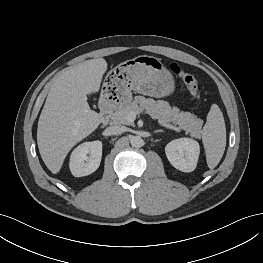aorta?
<instances>
[{"label":"aorta","instance_id":"1","mask_svg":"<svg viewBox=\"0 0 263 263\" xmlns=\"http://www.w3.org/2000/svg\"><path fill=\"white\" fill-rule=\"evenodd\" d=\"M132 147L140 148L143 146V139L139 136H133L130 140Z\"/></svg>","mask_w":263,"mask_h":263}]
</instances>
